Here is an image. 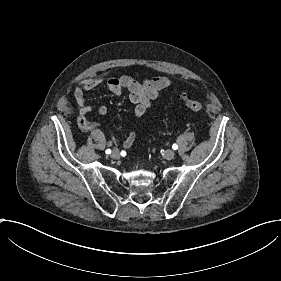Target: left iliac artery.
Listing matches in <instances>:
<instances>
[{"mask_svg": "<svg viewBox=\"0 0 281 281\" xmlns=\"http://www.w3.org/2000/svg\"><path fill=\"white\" fill-rule=\"evenodd\" d=\"M172 148H173L174 150H177V149H178V146H177L176 144H173Z\"/></svg>", "mask_w": 281, "mask_h": 281, "instance_id": "44dca946", "label": "left iliac artery"}]
</instances>
